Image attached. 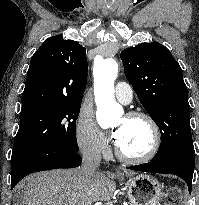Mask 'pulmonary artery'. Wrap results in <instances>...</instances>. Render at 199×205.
Returning <instances> with one entry per match:
<instances>
[{
  "label": "pulmonary artery",
  "instance_id": "pulmonary-artery-1",
  "mask_svg": "<svg viewBox=\"0 0 199 205\" xmlns=\"http://www.w3.org/2000/svg\"><path fill=\"white\" fill-rule=\"evenodd\" d=\"M115 96L123 104H128L133 98V89L126 82H118L115 86Z\"/></svg>",
  "mask_w": 199,
  "mask_h": 205
}]
</instances>
